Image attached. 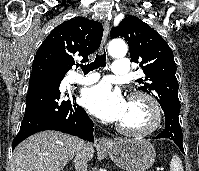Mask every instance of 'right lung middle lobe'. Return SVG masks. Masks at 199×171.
<instances>
[{
    "mask_svg": "<svg viewBox=\"0 0 199 171\" xmlns=\"http://www.w3.org/2000/svg\"><path fill=\"white\" fill-rule=\"evenodd\" d=\"M50 77H54L56 79H59L60 81H62V79L64 78V77H58V76H50Z\"/></svg>",
    "mask_w": 199,
    "mask_h": 171,
    "instance_id": "obj_1",
    "label": "right lung middle lobe"
}]
</instances>
